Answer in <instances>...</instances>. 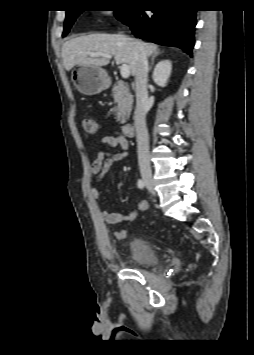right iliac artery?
Returning a JSON list of instances; mask_svg holds the SVG:
<instances>
[{
	"label": "right iliac artery",
	"instance_id": "82829eb1",
	"mask_svg": "<svg viewBox=\"0 0 254 355\" xmlns=\"http://www.w3.org/2000/svg\"><path fill=\"white\" fill-rule=\"evenodd\" d=\"M137 186H138V188L143 189L145 187V182L143 180L139 179L137 182Z\"/></svg>",
	"mask_w": 254,
	"mask_h": 355
}]
</instances>
